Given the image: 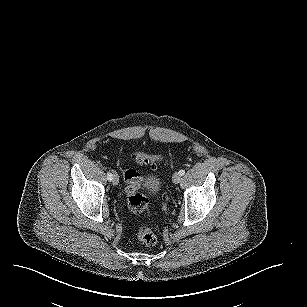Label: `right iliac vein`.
Returning a JSON list of instances; mask_svg holds the SVG:
<instances>
[{
	"label": "right iliac vein",
	"mask_w": 307,
	"mask_h": 307,
	"mask_svg": "<svg viewBox=\"0 0 307 307\" xmlns=\"http://www.w3.org/2000/svg\"><path fill=\"white\" fill-rule=\"evenodd\" d=\"M112 182H113L114 185H118V183H119V177H118V174L116 172H113Z\"/></svg>",
	"instance_id": "63e3f726"
}]
</instances>
